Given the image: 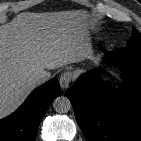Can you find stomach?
I'll list each match as a JSON object with an SVG mask.
<instances>
[{
  "label": "stomach",
  "mask_w": 141,
  "mask_h": 141,
  "mask_svg": "<svg viewBox=\"0 0 141 141\" xmlns=\"http://www.w3.org/2000/svg\"><path fill=\"white\" fill-rule=\"evenodd\" d=\"M92 54H93V53H92L91 49H89L88 56H89V57H92Z\"/></svg>",
  "instance_id": "stomach-1"
}]
</instances>
